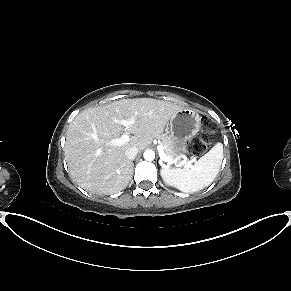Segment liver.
<instances>
[{"instance_id": "6515ba94", "label": "liver", "mask_w": 291, "mask_h": 291, "mask_svg": "<svg viewBox=\"0 0 291 291\" xmlns=\"http://www.w3.org/2000/svg\"><path fill=\"white\" fill-rule=\"evenodd\" d=\"M183 106L153 98L122 99L79 113L70 123L65 158L72 179L84 190L112 194L127 187L134 164L126 149L144 150ZM119 120H133L123 126ZM124 130L134 134L119 146L111 143ZM96 133L97 138L92 135Z\"/></svg>"}]
</instances>
